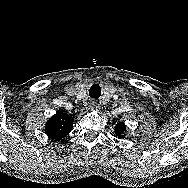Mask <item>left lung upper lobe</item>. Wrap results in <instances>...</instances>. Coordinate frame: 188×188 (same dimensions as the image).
Listing matches in <instances>:
<instances>
[{
	"label": "left lung upper lobe",
	"mask_w": 188,
	"mask_h": 188,
	"mask_svg": "<svg viewBox=\"0 0 188 188\" xmlns=\"http://www.w3.org/2000/svg\"><path fill=\"white\" fill-rule=\"evenodd\" d=\"M126 130V126L123 122L121 123H118L116 126H115V133L116 135L119 137V138H124V132Z\"/></svg>",
	"instance_id": "left-lung-upper-lobe-1"
}]
</instances>
